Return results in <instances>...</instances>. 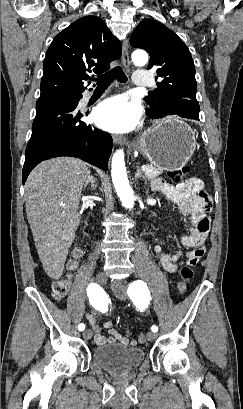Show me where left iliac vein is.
<instances>
[{"label": "left iliac vein", "instance_id": "1", "mask_svg": "<svg viewBox=\"0 0 243 409\" xmlns=\"http://www.w3.org/2000/svg\"><path fill=\"white\" fill-rule=\"evenodd\" d=\"M111 289L117 298L123 300L126 297V286L121 281L111 282ZM156 337L157 335L154 332L147 333L148 341L152 342Z\"/></svg>", "mask_w": 243, "mask_h": 409}]
</instances>
